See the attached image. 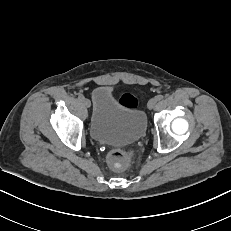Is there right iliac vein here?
<instances>
[{
  "label": "right iliac vein",
  "instance_id": "right-iliac-vein-1",
  "mask_svg": "<svg viewBox=\"0 0 231 231\" xmlns=\"http://www.w3.org/2000/svg\"><path fill=\"white\" fill-rule=\"evenodd\" d=\"M82 102H83V104H84L86 107H88V108L91 106V102H90L89 99L84 98V99L82 100Z\"/></svg>",
  "mask_w": 231,
  "mask_h": 231
}]
</instances>
